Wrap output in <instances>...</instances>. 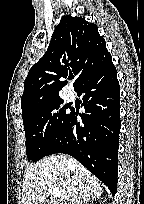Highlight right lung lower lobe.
Segmentation results:
<instances>
[{"label": "right lung lower lobe", "mask_w": 144, "mask_h": 204, "mask_svg": "<svg viewBox=\"0 0 144 204\" xmlns=\"http://www.w3.org/2000/svg\"><path fill=\"white\" fill-rule=\"evenodd\" d=\"M83 95L85 113L71 111L48 155L66 153L117 192L120 122V86L112 59L89 75L76 90Z\"/></svg>", "instance_id": "right-lung-lower-lobe-1"}]
</instances>
